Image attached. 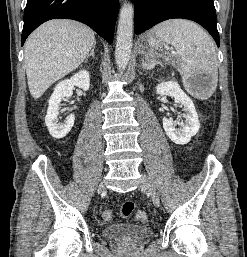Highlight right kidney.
<instances>
[{"label": "right kidney", "mask_w": 247, "mask_h": 257, "mask_svg": "<svg viewBox=\"0 0 247 257\" xmlns=\"http://www.w3.org/2000/svg\"><path fill=\"white\" fill-rule=\"evenodd\" d=\"M74 86L87 91L90 87L89 72L81 70L70 79L59 82L54 88V92L49 99L45 124L48 127L50 135L55 139L64 138L74 125L75 116L73 114L68 116L64 123H58L60 102L63 98L72 96Z\"/></svg>", "instance_id": "right-kidney-1"}]
</instances>
